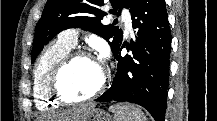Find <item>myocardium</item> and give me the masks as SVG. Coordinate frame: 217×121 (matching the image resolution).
<instances>
[{"label": "myocardium", "mask_w": 217, "mask_h": 121, "mask_svg": "<svg viewBox=\"0 0 217 121\" xmlns=\"http://www.w3.org/2000/svg\"><path fill=\"white\" fill-rule=\"evenodd\" d=\"M81 58H90L98 61L101 64L103 74L101 81L98 87L88 96L83 98H72L67 96L62 91L61 86V78L63 73L78 59ZM109 79V73L107 68L90 52L85 50H73L70 51L62 60L58 62V64L54 67L50 78H49V92L51 97L57 101L58 103L62 104H85L88 103L95 98H97L100 94L103 93L105 90Z\"/></svg>", "instance_id": "myocardium-1"}]
</instances>
